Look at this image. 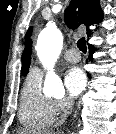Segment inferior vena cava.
<instances>
[{"mask_svg":"<svg viewBox=\"0 0 116 134\" xmlns=\"http://www.w3.org/2000/svg\"><path fill=\"white\" fill-rule=\"evenodd\" d=\"M73 105H74L73 99L67 98L65 108L63 109V113H62L61 118L59 120V125H61L65 122V120L67 119V117L69 116V114L72 111Z\"/></svg>","mask_w":116,"mask_h":134,"instance_id":"602c4592","label":"inferior vena cava"}]
</instances>
